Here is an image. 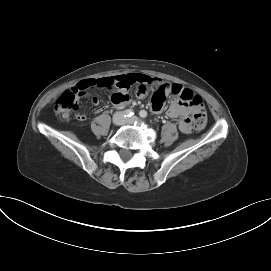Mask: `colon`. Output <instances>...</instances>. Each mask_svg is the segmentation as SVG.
<instances>
[{
  "label": "colon",
  "instance_id": "5ec220e1",
  "mask_svg": "<svg viewBox=\"0 0 271 271\" xmlns=\"http://www.w3.org/2000/svg\"><path fill=\"white\" fill-rule=\"evenodd\" d=\"M89 87L90 86H82L64 92L55 103V112L62 117H69L72 112L78 110V96ZM182 100L196 107L197 112L193 117L194 127L196 130H202L206 125V114L203 108L202 99L199 96L184 94Z\"/></svg>",
  "mask_w": 271,
  "mask_h": 271
}]
</instances>
